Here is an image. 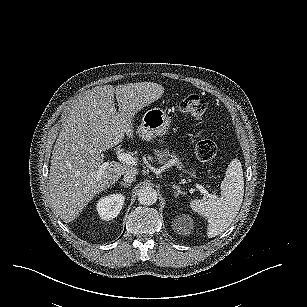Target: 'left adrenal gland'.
<instances>
[{
  "mask_svg": "<svg viewBox=\"0 0 307 307\" xmlns=\"http://www.w3.org/2000/svg\"><path fill=\"white\" fill-rule=\"evenodd\" d=\"M173 189H174V196L175 197H178L180 194H182V195H186V192H184V191H181V189H180V186L179 185H175V184H173Z\"/></svg>",
  "mask_w": 307,
  "mask_h": 307,
  "instance_id": "obj_1",
  "label": "left adrenal gland"
}]
</instances>
